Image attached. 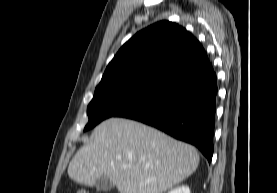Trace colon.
Segmentation results:
<instances>
[{
	"instance_id": "colon-1",
	"label": "colon",
	"mask_w": 277,
	"mask_h": 193,
	"mask_svg": "<svg viewBox=\"0 0 277 193\" xmlns=\"http://www.w3.org/2000/svg\"><path fill=\"white\" fill-rule=\"evenodd\" d=\"M76 193H89V192L86 191V190H79V191H77Z\"/></svg>"
}]
</instances>
